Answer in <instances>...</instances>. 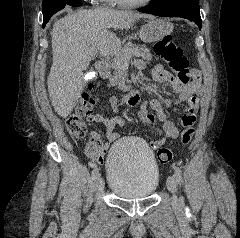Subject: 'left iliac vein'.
<instances>
[{
    "mask_svg": "<svg viewBox=\"0 0 240 238\" xmlns=\"http://www.w3.org/2000/svg\"><path fill=\"white\" fill-rule=\"evenodd\" d=\"M167 188L172 193V205L174 208L179 209L181 207V200L176 196L177 180L174 176L167 178Z\"/></svg>",
    "mask_w": 240,
    "mask_h": 238,
    "instance_id": "4c4485c4",
    "label": "left iliac vein"
}]
</instances>
